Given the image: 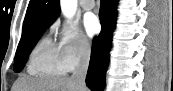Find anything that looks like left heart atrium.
Here are the masks:
<instances>
[{"label":"left heart atrium","mask_w":173,"mask_h":91,"mask_svg":"<svg viewBox=\"0 0 173 91\" xmlns=\"http://www.w3.org/2000/svg\"><path fill=\"white\" fill-rule=\"evenodd\" d=\"M83 25H84V29H85L86 33L89 36H93L96 33H98L99 28H100L97 17L92 13L85 15L84 20H83Z\"/></svg>","instance_id":"39dd6f15"}]
</instances>
